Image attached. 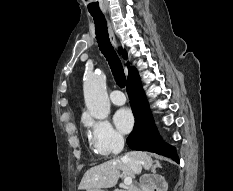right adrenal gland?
I'll return each mask as SVG.
<instances>
[{
	"label": "right adrenal gland",
	"mask_w": 233,
	"mask_h": 191,
	"mask_svg": "<svg viewBox=\"0 0 233 191\" xmlns=\"http://www.w3.org/2000/svg\"><path fill=\"white\" fill-rule=\"evenodd\" d=\"M154 163H155V164H154V166H153V168H152V170H151V172L153 173V175L156 174V169H157V168H161V167H162L159 161H155ZM145 176H147V175L145 174V175H143L142 177H145Z\"/></svg>",
	"instance_id": "1"
}]
</instances>
